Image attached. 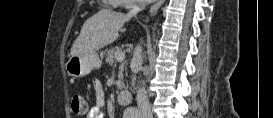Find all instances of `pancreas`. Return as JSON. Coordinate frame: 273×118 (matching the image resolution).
Instances as JSON below:
<instances>
[{
  "instance_id": "cf45deb5",
  "label": "pancreas",
  "mask_w": 273,
  "mask_h": 118,
  "mask_svg": "<svg viewBox=\"0 0 273 118\" xmlns=\"http://www.w3.org/2000/svg\"><path fill=\"white\" fill-rule=\"evenodd\" d=\"M120 51L121 49L119 47L109 49L105 56L106 63L113 64L115 61V54ZM120 62L121 64L119 66V75H118L119 81L117 82V88L121 90L125 87L124 83L122 82L125 63L122 61Z\"/></svg>"
}]
</instances>
